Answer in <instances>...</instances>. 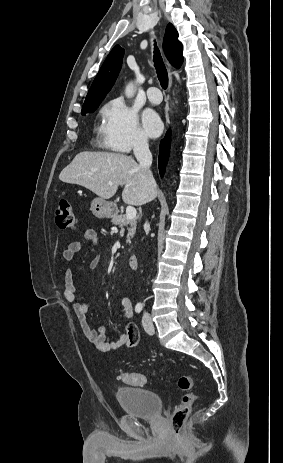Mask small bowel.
Instances as JSON below:
<instances>
[{
  "label": "small bowel",
  "mask_w": 283,
  "mask_h": 463,
  "mask_svg": "<svg viewBox=\"0 0 283 463\" xmlns=\"http://www.w3.org/2000/svg\"><path fill=\"white\" fill-rule=\"evenodd\" d=\"M98 233L94 229H88L84 233L83 241H72L68 244L63 252V257L67 261L74 260L76 254L82 249L83 243L88 242L96 244ZM100 262V257H94L89 262L90 268H95ZM64 296L67 302L72 306L81 326V329L87 340L100 352H108L122 346L133 348L139 342V333L135 324L131 321L133 317V306L131 300L126 296L119 298V304L127 321L123 324V334L116 341H108L106 338L105 328L99 326L92 327L87 318L88 306L80 300L75 292L74 273L67 269L64 273Z\"/></svg>",
  "instance_id": "1"
}]
</instances>
